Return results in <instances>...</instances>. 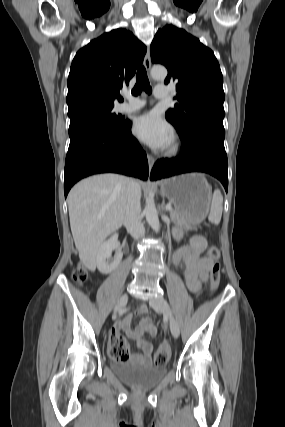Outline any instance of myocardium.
I'll return each mask as SVG.
<instances>
[{
  "label": "myocardium",
  "instance_id": "1",
  "mask_svg": "<svg viewBox=\"0 0 285 427\" xmlns=\"http://www.w3.org/2000/svg\"><path fill=\"white\" fill-rule=\"evenodd\" d=\"M179 147H180L179 139L177 137L173 138L171 145L167 151V154L168 155L175 154L179 150Z\"/></svg>",
  "mask_w": 285,
  "mask_h": 427
}]
</instances>
